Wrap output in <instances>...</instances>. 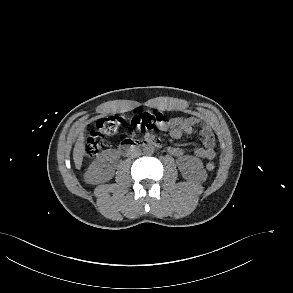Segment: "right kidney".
<instances>
[{"instance_id":"obj_1","label":"right kidney","mask_w":293,"mask_h":293,"mask_svg":"<svg viewBox=\"0 0 293 293\" xmlns=\"http://www.w3.org/2000/svg\"><path fill=\"white\" fill-rule=\"evenodd\" d=\"M113 175L112 166L100 157L89 166L85 174V181L89 184H99L110 180Z\"/></svg>"}]
</instances>
